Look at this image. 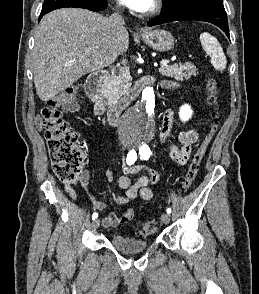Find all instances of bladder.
<instances>
[{
	"instance_id": "1",
	"label": "bladder",
	"mask_w": 259,
	"mask_h": 294,
	"mask_svg": "<svg viewBox=\"0 0 259 294\" xmlns=\"http://www.w3.org/2000/svg\"><path fill=\"white\" fill-rule=\"evenodd\" d=\"M111 244L119 251L125 253L141 252L149 247L147 240L135 239L120 233L112 235Z\"/></svg>"
}]
</instances>
